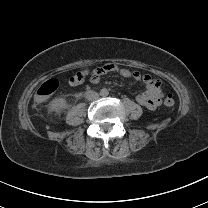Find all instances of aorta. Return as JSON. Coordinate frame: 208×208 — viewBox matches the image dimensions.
Here are the masks:
<instances>
[{
  "label": "aorta",
  "mask_w": 208,
  "mask_h": 208,
  "mask_svg": "<svg viewBox=\"0 0 208 208\" xmlns=\"http://www.w3.org/2000/svg\"><path fill=\"white\" fill-rule=\"evenodd\" d=\"M100 95H101L102 98L107 99V98L110 97L111 92H110L109 89L104 88V89L101 90Z\"/></svg>",
  "instance_id": "1"
}]
</instances>
